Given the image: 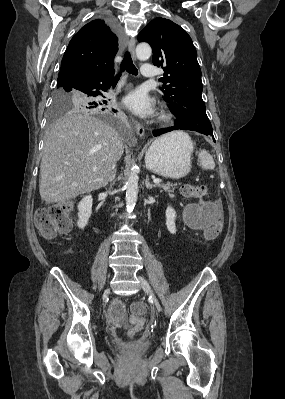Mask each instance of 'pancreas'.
Wrapping results in <instances>:
<instances>
[{
  "label": "pancreas",
  "mask_w": 285,
  "mask_h": 399,
  "mask_svg": "<svg viewBox=\"0 0 285 399\" xmlns=\"http://www.w3.org/2000/svg\"><path fill=\"white\" fill-rule=\"evenodd\" d=\"M158 187L162 188L164 191H167L169 193H172L174 191V186L173 184H166V185H162V184H157Z\"/></svg>",
  "instance_id": "pancreas-1"
}]
</instances>
